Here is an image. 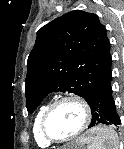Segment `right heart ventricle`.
I'll list each match as a JSON object with an SVG mask.
<instances>
[{"mask_svg": "<svg viewBox=\"0 0 124 149\" xmlns=\"http://www.w3.org/2000/svg\"><path fill=\"white\" fill-rule=\"evenodd\" d=\"M48 105H42L36 112L32 125V132L35 142L39 147H48L50 143L43 137L41 133V120Z\"/></svg>", "mask_w": 124, "mask_h": 149, "instance_id": "1", "label": "right heart ventricle"}]
</instances>
